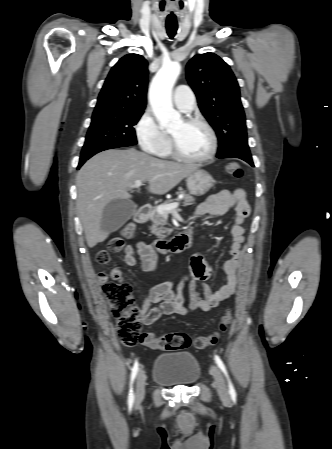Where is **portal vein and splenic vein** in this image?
Listing matches in <instances>:
<instances>
[{
	"instance_id": "1",
	"label": "portal vein and splenic vein",
	"mask_w": 332,
	"mask_h": 449,
	"mask_svg": "<svg viewBox=\"0 0 332 449\" xmlns=\"http://www.w3.org/2000/svg\"><path fill=\"white\" fill-rule=\"evenodd\" d=\"M141 185H142V181L136 180L134 183H132V184L129 186V188H138V187H140ZM178 206H179V203H178V202H173V203H170V204H167V205H160V206L157 207V211H158L160 214H163V215H164V214H168V213H170V212L176 210Z\"/></svg>"
}]
</instances>
